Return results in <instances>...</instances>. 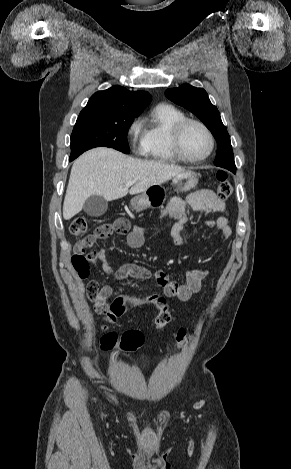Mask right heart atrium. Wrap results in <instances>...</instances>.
I'll use <instances>...</instances> for the list:
<instances>
[{"label": "right heart atrium", "instance_id": "obj_1", "mask_svg": "<svg viewBox=\"0 0 291 469\" xmlns=\"http://www.w3.org/2000/svg\"><path fill=\"white\" fill-rule=\"evenodd\" d=\"M143 129L140 119H135L131 122L127 129V136L129 143L135 146L136 141L139 140L140 144L142 141Z\"/></svg>", "mask_w": 291, "mask_h": 469}]
</instances>
